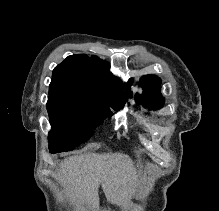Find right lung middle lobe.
I'll list each match as a JSON object with an SVG mask.
<instances>
[{"mask_svg": "<svg viewBox=\"0 0 219 211\" xmlns=\"http://www.w3.org/2000/svg\"><path fill=\"white\" fill-rule=\"evenodd\" d=\"M109 107L119 110L122 106L48 99L47 110L52 126L49 133L50 152L71 151L87 141L93 130L112 115Z\"/></svg>", "mask_w": 219, "mask_h": 211, "instance_id": "1", "label": "right lung middle lobe"}]
</instances>
